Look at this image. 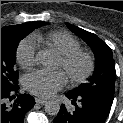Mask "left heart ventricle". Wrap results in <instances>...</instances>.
Segmentation results:
<instances>
[{
	"instance_id": "left-heart-ventricle-1",
	"label": "left heart ventricle",
	"mask_w": 123,
	"mask_h": 123,
	"mask_svg": "<svg viewBox=\"0 0 123 123\" xmlns=\"http://www.w3.org/2000/svg\"><path fill=\"white\" fill-rule=\"evenodd\" d=\"M57 67L63 68V65L60 60L57 62ZM84 68V62L82 60H77L73 65H72V71L74 72H80ZM64 69V68H63ZM65 71V70H64ZM66 72V71H65Z\"/></svg>"
}]
</instances>
